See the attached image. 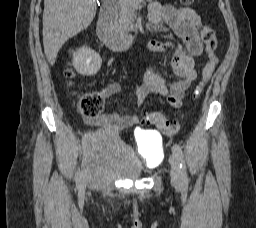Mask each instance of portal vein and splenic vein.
<instances>
[{
	"instance_id": "18ae733b",
	"label": "portal vein and splenic vein",
	"mask_w": 256,
	"mask_h": 228,
	"mask_svg": "<svg viewBox=\"0 0 256 228\" xmlns=\"http://www.w3.org/2000/svg\"><path fill=\"white\" fill-rule=\"evenodd\" d=\"M112 1H115V0H112ZM126 0H119V2L121 3H124ZM132 1L133 3H135L136 5L140 4L143 0H130Z\"/></svg>"
}]
</instances>
